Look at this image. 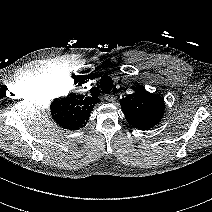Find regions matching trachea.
I'll list each match as a JSON object with an SVG mask.
<instances>
[{
    "mask_svg": "<svg viewBox=\"0 0 212 212\" xmlns=\"http://www.w3.org/2000/svg\"><path fill=\"white\" fill-rule=\"evenodd\" d=\"M100 86H101V90L104 93L110 92L112 89V86H113L112 78L108 75L102 76V78L100 80Z\"/></svg>",
    "mask_w": 212,
    "mask_h": 212,
    "instance_id": "1",
    "label": "trachea"
}]
</instances>
